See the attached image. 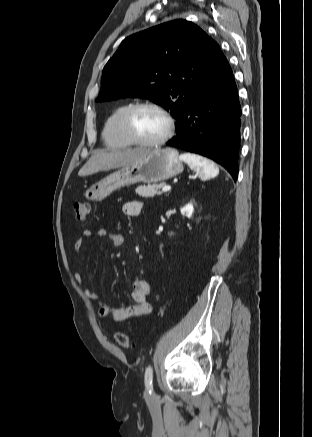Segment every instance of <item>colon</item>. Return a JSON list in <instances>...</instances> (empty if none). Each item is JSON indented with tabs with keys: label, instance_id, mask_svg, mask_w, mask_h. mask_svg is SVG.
Returning <instances> with one entry per match:
<instances>
[{
	"label": "colon",
	"instance_id": "obj_1",
	"mask_svg": "<svg viewBox=\"0 0 312 437\" xmlns=\"http://www.w3.org/2000/svg\"><path fill=\"white\" fill-rule=\"evenodd\" d=\"M72 210L75 220L78 222H84L90 214L91 206L88 203L75 200L72 202ZM115 339L118 345L122 348L130 349L132 347V341L125 333H116Z\"/></svg>",
	"mask_w": 312,
	"mask_h": 437
}]
</instances>
